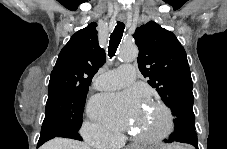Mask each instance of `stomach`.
Here are the masks:
<instances>
[{"label": "stomach", "instance_id": "stomach-1", "mask_svg": "<svg viewBox=\"0 0 227 149\" xmlns=\"http://www.w3.org/2000/svg\"><path fill=\"white\" fill-rule=\"evenodd\" d=\"M164 149H175V148H173V147H170V148H164Z\"/></svg>", "mask_w": 227, "mask_h": 149}]
</instances>
